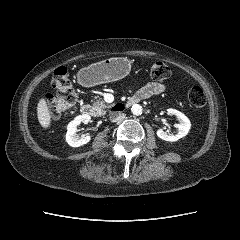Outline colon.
Wrapping results in <instances>:
<instances>
[{
	"instance_id": "1",
	"label": "colon",
	"mask_w": 240,
	"mask_h": 240,
	"mask_svg": "<svg viewBox=\"0 0 240 240\" xmlns=\"http://www.w3.org/2000/svg\"><path fill=\"white\" fill-rule=\"evenodd\" d=\"M170 76L169 67L161 61L155 62L150 68V77L156 81H162ZM55 95L47 96L46 102L52 117H60L76 103V93L69 78L66 67L55 69L51 81ZM188 100L197 108H203L206 104V96L200 86H193L188 91Z\"/></svg>"
}]
</instances>
